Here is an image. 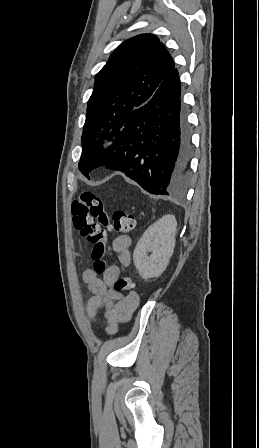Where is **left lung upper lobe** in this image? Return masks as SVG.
<instances>
[{
  "instance_id": "left-lung-upper-lobe-1",
  "label": "left lung upper lobe",
  "mask_w": 259,
  "mask_h": 448,
  "mask_svg": "<svg viewBox=\"0 0 259 448\" xmlns=\"http://www.w3.org/2000/svg\"><path fill=\"white\" fill-rule=\"evenodd\" d=\"M174 68L172 56L153 34L137 35L115 49L95 76L88 101L78 164L82 173L104 150L100 141L115 138L132 110L146 104Z\"/></svg>"
}]
</instances>
